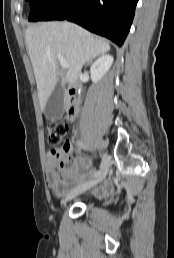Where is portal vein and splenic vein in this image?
Wrapping results in <instances>:
<instances>
[{
    "instance_id": "portal-vein-and-splenic-vein-1",
    "label": "portal vein and splenic vein",
    "mask_w": 174,
    "mask_h": 258,
    "mask_svg": "<svg viewBox=\"0 0 174 258\" xmlns=\"http://www.w3.org/2000/svg\"><path fill=\"white\" fill-rule=\"evenodd\" d=\"M57 59L59 60L60 65L63 69L69 68V64L65 61V59L61 55H57Z\"/></svg>"
}]
</instances>
